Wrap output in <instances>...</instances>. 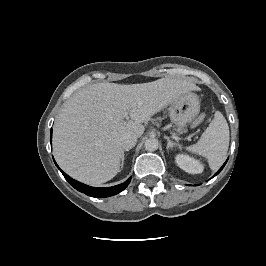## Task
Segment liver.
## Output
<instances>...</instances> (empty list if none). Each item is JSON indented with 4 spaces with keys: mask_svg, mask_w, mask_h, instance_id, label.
Here are the masks:
<instances>
[{
    "mask_svg": "<svg viewBox=\"0 0 266 266\" xmlns=\"http://www.w3.org/2000/svg\"><path fill=\"white\" fill-rule=\"evenodd\" d=\"M197 90L182 78L149 83H97L73 94L63 105L53 129V152L72 178L92 186L120 172L125 134L141 137L143 122L181 95ZM128 113L130 120H124Z\"/></svg>",
    "mask_w": 266,
    "mask_h": 266,
    "instance_id": "1",
    "label": "liver"
}]
</instances>
